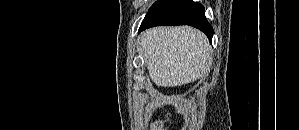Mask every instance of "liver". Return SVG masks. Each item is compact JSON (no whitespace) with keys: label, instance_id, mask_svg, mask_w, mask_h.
<instances>
[{"label":"liver","instance_id":"liver-1","mask_svg":"<svg viewBox=\"0 0 299 130\" xmlns=\"http://www.w3.org/2000/svg\"><path fill=\"white\" fill-rule=\"evenodd\" d=\"M140 50L149 76L157 86H182L210 70L208 39L192 27L151 28L141 34Z\"/></svg>","mask_w":299,"mask_h":130}]
</instances>
